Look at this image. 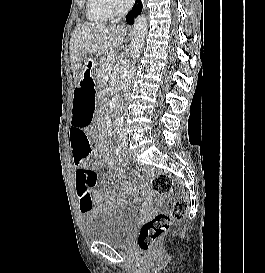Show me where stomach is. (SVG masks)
<instances>
[{
	"label": "stomach",
	"mask_w": 265,
	"mask_h": 273,
	"mask_svg": "<svg viewBox=\"0 0 265 273\" xmlns=\"http://www.w3.org/2000/svg\"><path fill=\"white\" fill-rule=\"evenodd\" d=\"M96 66V60L93 57H90L84 64V70L80 76L81 80L79 85H76V90H96L94 74V68Z\"/></svg>",
	"instance_id": "obj_1"
}]
</instances>
